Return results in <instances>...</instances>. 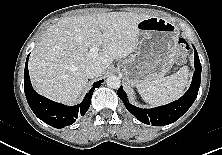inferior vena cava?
I'll return each instance as SVG.
<instances>
[{"label":"inferior vena cava","instance_id":"inferior-vena-cava-1","mask_svg":"<svg viewBox=\"0 0 222 155\" xmlns=\"http://www.w3.org/2000/svg\"><path fill=\"white\" fill-rule=\"evenodd\" d=\"M85 73L88 78L99 77L103 74V68L96 64L87 66Z\"/></svg>","mask_w":222,"mask_h":155}]
</instances>
